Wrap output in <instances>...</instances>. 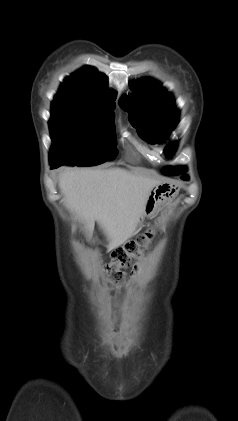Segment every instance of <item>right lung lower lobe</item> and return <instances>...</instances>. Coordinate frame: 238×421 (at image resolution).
I'll return each instance as SVG.
<instances>
[{"label": "right lung lower lobe", "instance_id": "98d812e1", "mask_svg": "<svg viewBox=\"0 0 238 421\" xmlns=\"http://www.w3.org/2000/svg\"><path fill=\"white\" fill-rule=\"evenodd\" d=\"M61 165H63V164H62V163H52V162H50V166H51L53 169L58 168V167H60Z\"/></svg>", "mask_w": 238, "mask_h": 421}]
</instances>
